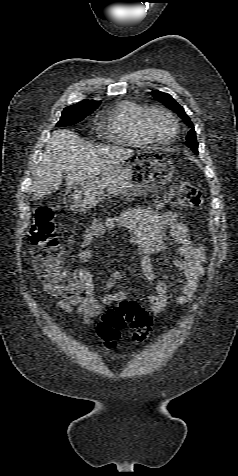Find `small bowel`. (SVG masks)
I'll return each instance as SVG.
<instances>
[{
    "label": "small bowel",
    "instance_id": "small-bowel-1",
    "mask_svg": "<svg viewBox=\"0 0 238 476\" xmlns=\"http://www.w3.org/2000/svg\"><path fill=\"white\" fill-rule=\"evenodd\" d=\"M177 218L176 213H160L142 208L129 209L103 220L94 219L82 237L81 250L77 254L79 264L72 272L77 278L76 285L66 289H49L51 294L58 297L57 306L66 312L80 315L84 324L90 326L106 305L130 301L127 292H113L124 275L111 267H108L103 283L104 294L98 300L94 295L92 275L88 268V264L96 259L95 252L89 249L90 244L107 230L117 228L124 229L129 242L137 247L142 275L150 281L157 278L151 256L166 251L167 238L177 245L176 256L172 262L184 279L174 283L156 282L155 294L146 300L147 307L154 315H159L167 309L169 297L173 292L179 293L176 300L178 304L183 305L191 301L204 274L205 254L201 246L191 241L188 227L177 223Z\"/></svg>",
    "mask_w": 238,
    "mask_h": 476
}]
</instances>
